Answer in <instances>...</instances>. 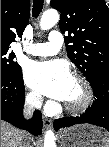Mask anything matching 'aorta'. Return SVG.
<instances>
[{
  "mask_svg": "<svg viewBox=\"0 0 109 147\" xmlns=\"http://www.w3.org/2000/svg\"><path fill=\"white\" fill-rule=\"evenodd\" d=\"M59 21V14L55 9L47 10L43 13L40 20L42 30L51 29ZM44 147H56L55 135L52 130H48L44 138Z\"/></svg>",
  "mask_w": 109,
  "mask_h": 147,
  "instance_id": "aorta-1",
  "label": "aorta"
}]
</instances>
